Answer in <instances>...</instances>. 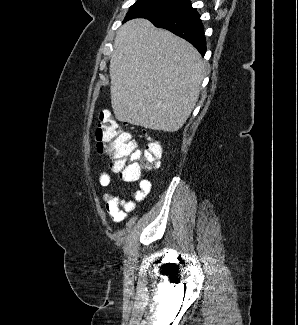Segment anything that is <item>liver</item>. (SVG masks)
<instances>
[{"label":"liver","mask_w":298,"mask_h":325,"mask_svg":"<svg viewBox=\"0 0 298 325\" xmlns=\"http://www.w3.org/2000/svg\"><path fill=\"white\" fill-rule=\"evenodd\" d=\"M109 70L115 118L165 132L185 124L205 76L201 54L190 42L146 18L118 28Z\"/></svg>","instance_id":"6515ba94"}]
</instances>
